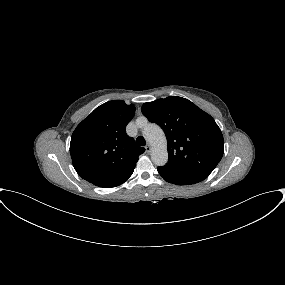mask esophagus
<instances>
[{
    "label": "esophagus",
    "instance_id": "obj_1",
    "mask_svg": "<svg viewBox=\"0 0 285 285\" xmlns=\"http://www.w3.org/2000/svg\"><path fill=\"white\" fill-rule=\"evenodd\" d=\"M145 150L147 153H150L151 152V146L148 144L146 147H145Z\"/></svg>",
    "mask_w": 285,
    "mask_h": 285
}]
</instances>
